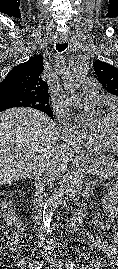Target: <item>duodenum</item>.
Listing matches in <instances>:
<instances>
[{
	"label": "duodenum",
	"instance_id": "obj_1",
	"mask_svg": "<svg viewBox=\"0 0 118 269\" xmlns=\"http://www.w3.org/2000/svg\"><path fill=\"white\" fill-rule=\"evenodd\" d=\"M83 220V212H77L68 223V228L73 230L79 227Z\"/></svg>",
	"mask_w": 118,
	"mask_h": 269
}]
</instances>
